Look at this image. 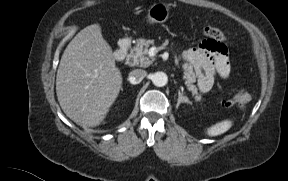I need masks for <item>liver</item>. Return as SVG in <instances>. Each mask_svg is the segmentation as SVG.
<instances>
[{
    "label": "liver",
    "instance_id": "obj_1",
    "mask_svg": "<svg viewBox=\"0 0 288 181\" xmlns=\"http://www.w3.org/2000/svg\"><path fill=\"white\" fill-rule=\"evenodd\" d=\"M122 75L99 24L80 31L65 49L56 78L64 113L87 129L99 126L117 99Z\"/></svg>",
    "mask_w": 288,
    "mask_h": 181
}]
</instances>
